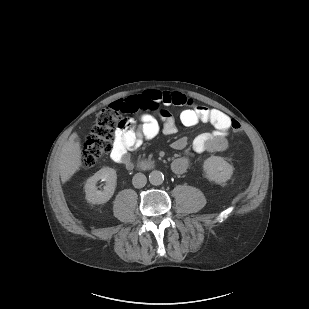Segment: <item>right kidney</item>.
<instances>
[{"mask_svg": "<svg viewBox=\"0 0 309 309\" xmlns=\"http://www.w3.org/2000/svg\"><path fill=\"white\" fill-rule=\"evenodd\" d=\"M106 181L103 191L96 188V183ZM117 174L116 171L109 167H104L90 177L85 184L86 200L93 204L106 203L113 196L116 188Z\"/></svg>", "mask_w": 309, "mask_h": 309, "instance_id": "right-kidney-1", "label": "right kidney"}]
</instances>
